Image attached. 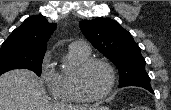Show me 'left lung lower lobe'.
<instances>
[{"instance_id": "left-lung-lower-lobe-1", "label": "left lung lower lobe", "mask_w": 171, "mask_h": 110, "mask_svg": "<svg viewBox=\"0 0 171 110\" xmlns=\"http://www.w3.org/2000/svg\"><path fill=\"white\" fill-rule=\"evenodd\" d=\"M148 91H150L151 93H154L152 88H147Z\"/></svg>"}]
</instances>
